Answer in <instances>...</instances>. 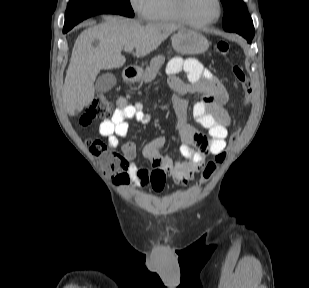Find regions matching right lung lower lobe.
Returning <instances> with one entry per match:
<instances>
[{
    "label": "right lung lower lobe",
    "mask_w": 309,
    "mask_h": 288,
    "mask_svg": "<svg viewBox=\"0 0 309 288\" xmlns=\"http://www.w3.org/2000/svg\"><path fill=\"white\" fill-rule=\"evenodd\" d=\"M101 14H106V13H101ZM97 15H99V14H97ZM69 30H67V29H63V32L64 33H66V32H68Z\"/></svg>",
    "instance_id": "obj_1"
}]
</instances>
